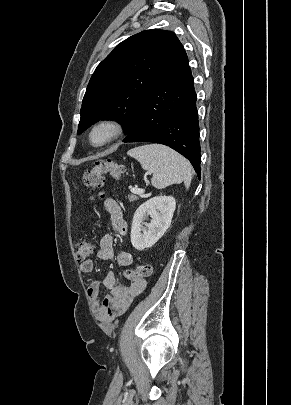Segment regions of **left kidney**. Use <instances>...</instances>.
<instances>
[{"instance_id": "obj_1", "label": "left kidney", "mask_w": 291, "mask_h": 405, "mask_svg": "<svg viewBox=\"0 0 291 405\" xmlns=\"http://www.w3.org/2000/svg\"><path fill=\"white\" fill-rule=\"evenodd\" d=\"M176 201L171 196H156L141 204L134 213L131 226V243L136 250L152 247L171 225ZM151 220L143 227V221Z\"/></svg>"}]
</instances>
